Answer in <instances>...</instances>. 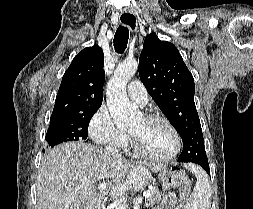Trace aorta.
<instances>
[{
	"label": "aorta",
	"instance_id": "aorta-1",
	"mask_svg": "<svg viewBox=\"0 0 253 209\" xmlns=\"http://www.w3.org/2000/svg\"><path fill=\"white\" fill-rule=\"evenodd\" d=\"M138 69V62L126 60L119 63L107 84L106 100L109 112L118 128L130 126L138 117L139 110L126 95V86Z\"/></svg>",
	"mask_w": 253,
	"mask_h": 209
}]
</instances>
